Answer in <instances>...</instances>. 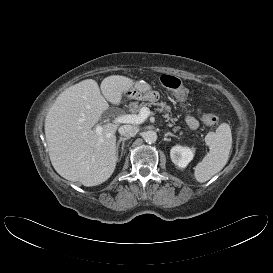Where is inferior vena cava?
<instances>
[{
  "mask_svg": "<svg viewBox=\"0 0 273 273\" xmlns=\"http://www.w3.org/2000/svg\"><path fill=\"white\" fill-rule=\"evenodd\" d=\"M118 131L122 136L130 138L137 134L138 128L132 125H122Z\"/></svg>",
  "mask_w": 273,
  "mask_h": 273,
  "instance_id": "602c4592",
  "label": "inferior vena cava"
}]
</instances>
